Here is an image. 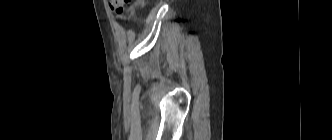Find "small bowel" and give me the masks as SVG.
Listing matches in <instances>:
<instances>
[{"instance_id": "small-bowel-1", "label": "small bowel", "mask_w": 332, "mask_h": 140, "mask_svg": "<svg viewBox=\"0 0 332 140\" xmlns=\"http://www.w3.org/2000/svg\"><path fill=\"white\" fill-rule=\"evenodd\" d=\"M133 11H134V8L131 9V13H133Z\"/></svg>"}]
</instances>
